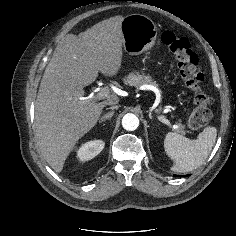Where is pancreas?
<instances>
[{"instance_id":"1","label":"pancreas","mask_w":236,"mask_h":236,"mask_svg":"<svg viewBox=\"0 0 236 236\" xmlns=\"http://www.w3.org/2000/svg\"><path fill=\"white\" fill-rule=\"evenodd\" d=\"M125 84H128L130 86L134 87H140L142 85L150 84L157 86L155 81H152L150 76L140 75V74H134L131 73L128 75L126 79H124ZM176 132L183 133V126L179 125L177 129H175Z\"/></svg>"}]
</instances>
